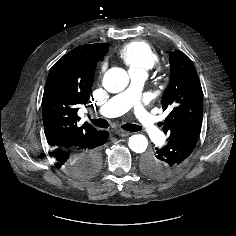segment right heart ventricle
<instances>
[{
	"mask_svg": "<svg viewBox=\"0 0 236 236\" xmlns=\"http://www.w3.org/2000/svg\"><path fill=\"white\" fill-rule=\"evenodd\" d=\"M118 55L132 72H147L159 61L157 51L144 40L125 44L118 51Z\"/></svg>",
	"mask_w": 236,
	"mask_h": 236,
	"instance_id": "right-heart-ventricle-1",
	"label": "right heart ventricle"
}]
</instances>
